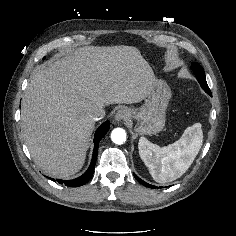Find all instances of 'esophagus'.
Here are the masks:
<instances>
[{
    "mask_svg": "<svg viewBox=\"0 0 236 236\" xmlns=\"http://www.w3.org/2000/svg\"><path fill=\"white\" fill-rule=\"evenodd\" d=\"M130 116V110L123 107V108H120L116 114H115V120L117 122H121V121H125L129 118Z\"/></svg>",
    "mask_w": 236,
    "mask_h": 236,
    "instance_id": "obj_1",
    "label": "esophagus"
}]
</instances>
